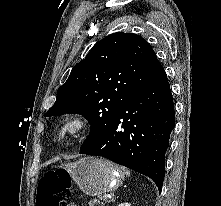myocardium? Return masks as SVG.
Instances as JSON below:
<instances>
[{
	"label": "myocardium",
	"instance_id": "f54148a6",
	"mask_svg": "<svg viewBox=\"0 0 221 206\" xmlns=\"http://www.w3.org/2000/svg\"><path fill=\"white\" fill-rule=\"evenodd\" d=\"M86 128V121L78 115L63 118L54 129L55 139L63 143L82 135Z\"/></svg>",
	"mask_w": 221,
	"mask_h": 206
}]
</instances>
